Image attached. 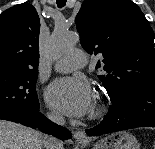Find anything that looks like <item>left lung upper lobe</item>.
<instances>
[{
	"mask_svg": "<svg viewBox=\"0 0 155 149\" xmlns=\"http://www.w3.org/2000/svg\"><path fill=\"white\" fill-rule=\"evenodd\" d=\"M76 27L83 48L103 56L105 73L98 77L110 97L137 84L155 82L154 32L135 3L85 0Z\"/></svg>",
	"mask_w": 155,
	"mask_h": 149,
	"instance_id": "obj_1",
	"label": "left lung upper lobe"
}]
</instances>
